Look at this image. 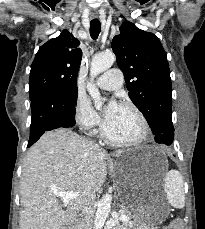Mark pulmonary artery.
Listing matches in <instances>:
<instances>
[{"label":"pulmonary artery","mask_w":205,"mask_h":229,"mask_svg":"<svg viewBox=\"0 0 205 229\" xmlns=\"http://www.w3.org/2000/svg\"><path fill=\"white\" fill-rule=\"evenodd\" d=\"M122 80L123 75L121 70L112 68L98 77L97 85L106 90H115L121 86Z\"/></svg>","instance_id":"obj_1"}]
</instances>
